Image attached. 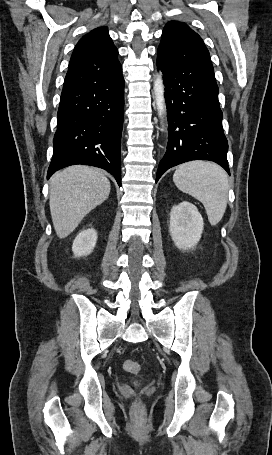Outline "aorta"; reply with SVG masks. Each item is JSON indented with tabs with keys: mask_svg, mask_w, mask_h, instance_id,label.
I'll return each instance as SVG.
<instances>
[{
	"mask_svg": "<svg viewBox=\"0 0 272 455\" xmlns=\"http://www.w3.org/2000/svg\"><path fill=\"white\" fill-rule=\"evenodd\" d=\"M154 95H155V102L158 111V115L161 118V123H163V117L166 113V104H165V90L164 84L162 80L161 73H157L154 79ZM163 130V125H162Z\"/></svg>",
	"mask_w": 272,
	"mask_h": 455,
	"instance_id": "1",
	"label": "aorta"
}]
</instances>
